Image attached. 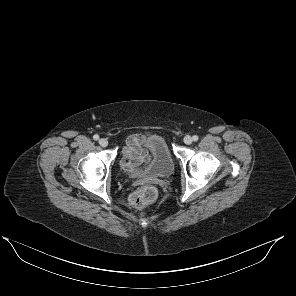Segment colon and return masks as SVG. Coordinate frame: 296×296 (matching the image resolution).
<instances>
[{"label": "colon", "mask_w": 296, "mask_h": 296, "mask_svg": "<svg viewBox=\"0 0 296 296\" xmlns=\"http://www.w3.org/2000/svg\"><path fill=\"white\" fill-rule=\"evenodd\" d=\"M157 190L152 185H147L133 192L129 197V204L134 208H144L155 201Z\"/></svg>", "instance_id": "obj_1"}]
</instances>
